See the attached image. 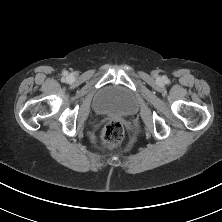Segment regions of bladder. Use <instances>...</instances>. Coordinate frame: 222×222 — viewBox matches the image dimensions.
I'll use <instances>...</instances> for the list:
<instances>
[{
	"mask_svg": "<svg viewBox=\"0 0 222 222\" xmlns=\"http://www.w3.org/2000/svg\"><path fill=\"white\" fill-rule=\"evenodd\" d=\"M93 109L98 115L130 116L137 111L138 102L129 89L110 85L101 88L95 94Z\"/></svg>",
	"mask_w": 222,
	"mask_h": 222,
	"instance_id": "31cf9c89",
	"label": "bladder"
}]
</instances>
